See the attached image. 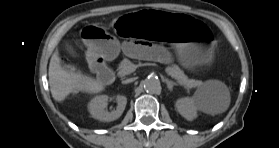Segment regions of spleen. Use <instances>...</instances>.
Listing matches in <instances>:
<instances>
[{
    "mask_svg": "<svg viewBox=\"0 0 279 148\" xmlns=\"http://www.w3.org/2000/svg\"><path fill=\"white\" fill-rule=\"evenodd\" d=\"M221 83L218 81L210 80L204 83V85L196 92L195 99L201 101L202 96L209 95L212 93L214 88L220 86ZM229 105V98L227 97L226 100L218 107L217 112L222 113L224 112Z\"/></svg>",
    "mask_w": 279,
    "mask_h": 148,
    "instance_id": "3e777b00",
    "label": "spleen"
}]
</instances>
